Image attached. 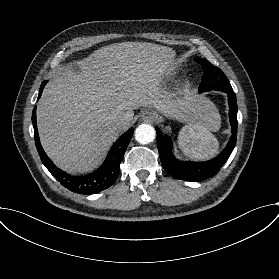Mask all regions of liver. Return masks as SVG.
Masks as SVG:
<instances>
[{"instance_id": "1", "label": "liver", "mask_w": 279, "mask_h": 279, "mask_svg": "<svg viewBox=\"0 0 279 279\" xmlns=\"http://www.w3.org/2000/svg\"><path fill=\"white\" fill-rule=\"evenodd\" d=\"M175 52L147 42L115 43L78 61L80 73L56 77L37 106V127L46 154L68 173L97 167L119 134L133 120L134 110L156 108L190 124L200 120L204 97L185 88L182 99H169L161 87L173 71ZM129 122L117 128L114 118ZM110 121V122H109Z\"/></svg>"}]
</instances>
